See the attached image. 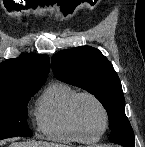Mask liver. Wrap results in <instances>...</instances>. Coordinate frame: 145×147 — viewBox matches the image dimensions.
<instances>
[{"mask_svg": "<svg viewBox=\"0 0 145 147\" xmlns=\"http://www.w3.org/2000/svg\"><path fill=\"white\" fill-rule=\"evenodd\" d=\"M10 147H65L61 144L42 142V141H30V142H15Z\"/></svg>", "mask_w": 145, "mask_h": 147, "instance_id": "obj_1", "label": "liver"}]
</instances>
